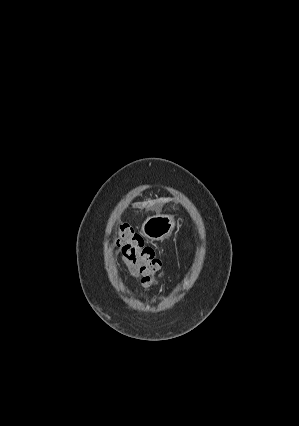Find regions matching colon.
<instances>
[{
	"mask_svg": "<svg viewBox=\"0 0 299 426\" xmlns=\"http://www.w3.org/2000/svg\"><path fill=\"white\" fill-rule=\"evenodd\" d=\"M114 243L138 267L142 286L147 289L154 287L157 284L156 274L161 268V261L154 249L147 246L143 238L127 224L120 226Z\"/></svg>",
	"mask_w": 299,
	"mask_h": 426,
	"instance_id": "5ec220e1",
	"label": "colon"
}]
</instances>
